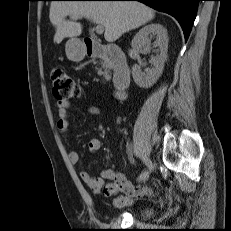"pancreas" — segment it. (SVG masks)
Listing matches in <instances>:
<instances>
[{
    "instance_id": "obj_1",
    "label": "pancreas",
    "mask_w": 231,
    "mask_h": 231,
    "mask_svg": "<svg viewBox=\"0 0 231 231\" xmlns=\"http://www.w3.org/2000/svg\"><path fill=\"white\" fill-rule=\"evenodd\" d=\"M102 64H103L104 71H102V68H98L97 72L99 75H103L105 78H107V77H109V71L107 69H105L106 62H102Z\"/></svg>"
}]
</instances>
